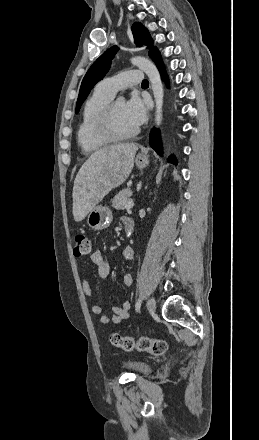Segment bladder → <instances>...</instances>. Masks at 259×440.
Instances as JSON below:
<instances>
[{"label": "bladder", "instance_id": "bladder-1", "mask_svg": "<svg viewBox=\"0 0 259 440\" xmlns=\"http://www.w3.org/2000/svg\"><path fill=\"white\" fill-rule=\"evenodd\" d=\"M123 367L135 374H148L151 371L149 364L139 360H126Z\"/></svg>", "mask_w": 259, "mask_h": 440}]
</instances>
